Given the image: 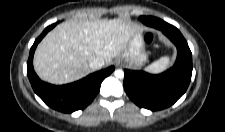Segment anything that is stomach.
<instances>
[{
    "label": "stomach",
    "mask_w": 225,
    "mask_h": 132,
    "mask_svg": "<svg viewBox=\"0 0 225 132\" xmlns=\"http://www.w3.org/2000/svg\"><path fill=\"white\" fill-rule=\"evenodd\" d=\"M148 56L141 32H137L130 39L127 48L120 55L119 61L128 68L138 69L145 65Z\"/></svg>",
    "instance_id": "stomach-1"
}]
</instances>
